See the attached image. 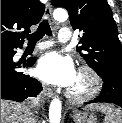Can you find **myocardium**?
Masks as SVG:
<instances>
[{"mask_svg": "<svg viewBox=\"0 0 122 123\" xmlns=\"http://www.w3.org/2000/svg\"><path fill=\"white\" fill-rule=\"evenodd\" d=\"M77 74L86 75L89 79V86L85 91L81 93H76L69 89L67 91V97L74 103H83L91 100L100 92L102 87V79L95 69L87 65L79 67Z\"/></svg>", "mask_w": 122, "mask_h": 123, "instance_id": "myocardium-1", "label": "myocardium"}]
</instances>
